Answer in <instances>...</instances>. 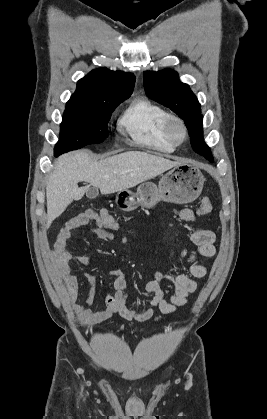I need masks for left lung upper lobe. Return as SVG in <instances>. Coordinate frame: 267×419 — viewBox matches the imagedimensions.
Listing matches in <instances>:
<instances>
[{"label": "left lung upper lobe", "instance_id": "5c2ea615", "mask_svg": "<svg viewBox=\"0 0 267 419\" xmlns=\"http://www.w3.org/2000/svg\"><path fill=\"white\" fill-rule=\"evenodd\" d=\"M144 89L149 98L170 108L181 119L189 131L194 151L208 160H213L209 147L203 140L200 104L190 87L179 81L172 70L144 72Z\"/></svg>", "mask_w": 267, "mask_h": 419}]
</instances>
